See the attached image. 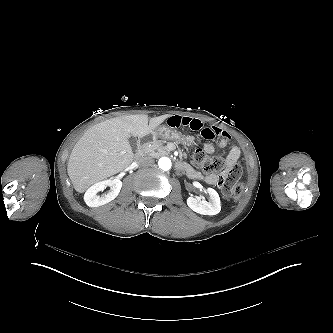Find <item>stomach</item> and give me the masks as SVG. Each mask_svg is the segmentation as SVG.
Instances as JSON below:
<instances>
[{
  "label": "stomach",
  "instance_id": "obj_1",
  "mask_svg": "<svg viewBox=\"0 0 333 333\" xmlns=\"http://www.w3.org/2000/svg\"><path fill=\"white\" fill-rule=\"evenodd\" d=\"M158 138H163L166 140L172 139L174 142L181 141L185 143L187 148L197 147L199 145V140L195 138L190 132L175 131L172 128L162 125L153 130L151 134L147 136L145 143L152 142Z\"/></svg>",
  "mask_w": 333,
  "mask_h": 333
}]
</instances>
